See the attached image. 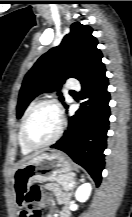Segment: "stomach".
Segmentation results:
<instances>
[{
  "instance_id": "0dacf381",
  "label": "stomach",
  "mask_w": 132,
  "mask_h": 217,
  "mask_svg": "<svg viewBox=\"0 0 132 217\" xmlns=\"http://www.w3.org/2000/svg\"><path fill=\"white\" fill-rule=\"evenodd\" d=\"M72 170V162L66 154L59 151L51 154L41 153L15 170L13 184L21 188L36 181H52L58 175L70 174Z\"/></svg>"
}]
</instances>
